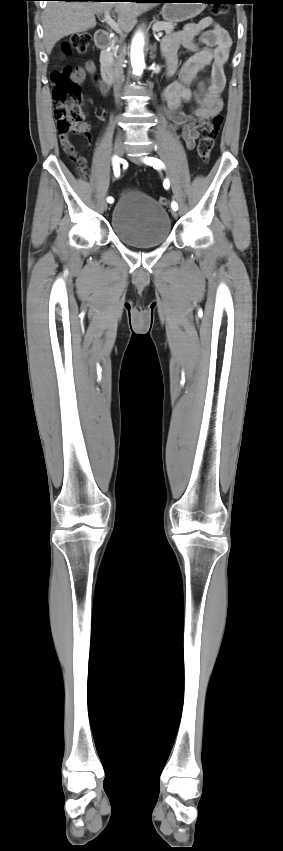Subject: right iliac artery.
<instances>
[{
	"instance_id": "1",
	"label": "right iliac artery",
	"mask_w": 283,
	"mask_h": 851,
	"mask_svg": "<svg viewBox=\"0 0 283 851\" xmlns=\"http://www.w3.org/2000/svg\"><path fill=\"white\" fill-rule=\"evenodd\" d=\"M119 162H120V158H118V157L114 156V157H113V171H114V175H115L116 177H118V176L120 175V166H119ZM107 201H108L109 203H112V202L114 201V199H113L112 197H108V198H107Z\"/></svg>"
}]
</instances>
